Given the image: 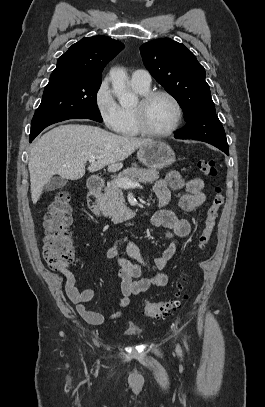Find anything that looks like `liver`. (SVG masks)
<instances>
[{
    "instance_id": "liver-1",
    "label": "liver",
    "mask_w": 265,
    "mask_h": 407,
    "mask_svg": "<svg viewBox=\"0 0 265 407\" xmlns=\"http://www.w3.org/2000/svg\"><path fill=\"white\" fill-rule=\"evenodd\" d=\"M151 141L119 136L91 125L67 124L51 129L35 142L30 152L32 202L37 203L44 186L54 175L69 180L82 178L89 157H97L88 166L89 172L106 166L109 171H118L123 167L124 159Z\"/></svg>"
}]
</instances>
